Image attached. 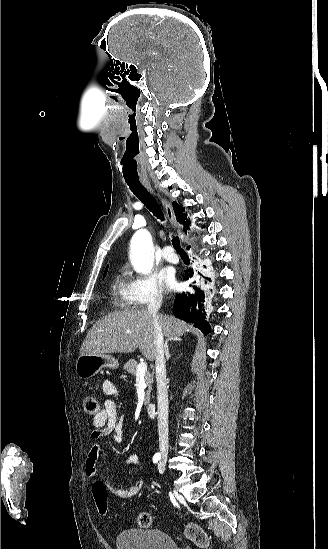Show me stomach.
I'll return each mask as SVG.
<instances>
[{
    "mask_svg": "<svg viewBox=\"0 0 328 549\" xmlns=\"http://www.w3.org/2000/svg\"><path fill=\"white\" fill-rule=\"evenodd\" d=\"M119 363L112 355H80L76 361L79 379H91L102 369H118Z\"/></svg>",
    "mask_w": 328,
    "mask_h": 549,
    "instance_id": "1",
    "label": "stomach"
}]
</instances>
